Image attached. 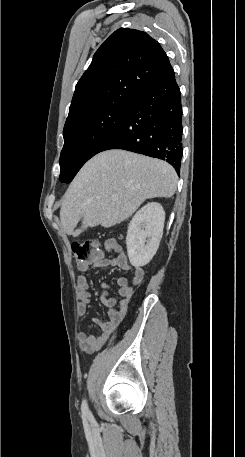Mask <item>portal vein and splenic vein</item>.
I'll return each mask as SVG.
<instances>
[{"mask_svg": "<svg viewBox=\"0 0 245 457\" xmlns=\"http://www.w3.org/2000/svg\"><path fill=\"white\" fill-rule=\"evenodd\" d=\"M112 200H118L117 196H113Z\"/></svg>", "mask_w": 245, "mask_h": 457, "instance_id": "portal-vein-and-splenic-vein-1", "label": "portal vein and splenic vein"}]
</instances>
